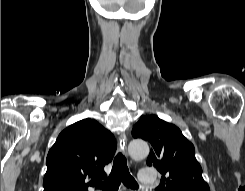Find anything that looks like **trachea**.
I'll return each instance as SVG.
<instances>
[{"instance_id":"trachea-1","label":"trachea","mask_w":245,"mask_h":191,"mask_svg":"<svg viewBox=\"0 0 245 191\" xmlns=\"http://www.w3.org/2000/svg\"><path fill=\"white\" fill-rule=\"evenodd\" d=\"M121 182L132 189L138 188L136 180L129 172L126 158L122 153H118L114 159L111 174L103 182L101 189L102 191H118Z\"/></svg>"}]
</instances>
